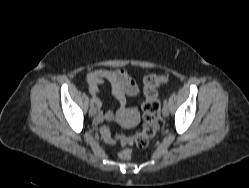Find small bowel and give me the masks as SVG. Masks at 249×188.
<instances>
[{
    "instance_id": "c3829d8e",
    "label": "small bowel",
    "mask_w": 249,
    "mask_h": 188,
    "mask_svg": "<svg viewBox=\"0 0 249 188\" xmlns=\"http://www.w3.org/2000/svg\"><path fill=\"white\" fill-rule=\"evenodd\" d=\"M109 82L112 88V93L117 100L120 112L125 110L126 96L136 97L139 94V88L135 79L124 69H96L90 72L86 78V84L92 96L97 98L100 93V86L104 82ZM96 106L98 115L95 119L96 123L110 122L115 118L112 110H103L102 102L97 98Z\"/></svg>"
}]
</instances>
